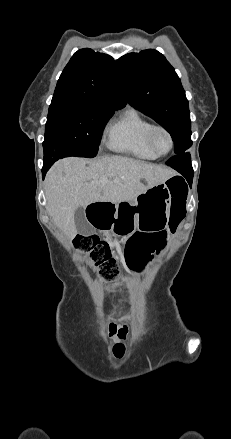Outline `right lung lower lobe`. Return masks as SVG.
<instances>
[{
  "instance_id": "right-lung-lower-lobe-1",
  "label": "right lung lower lobe",
  "mask_w": 231,
  "mask_h": 439,
  "mask_svg": "<svg viewBox=\"0 0 231 439\" xmlns=\"http://www.w3.org/2000/svg\"><path fill=\"white\" fill-rule=\"evenodd\" d=\"M56 160H50V161H44V165L42 168V176L43 179L45 177L46 172L48 171V169L51 167V165L55 162Z\"/></svg>"
}]
</instances>
